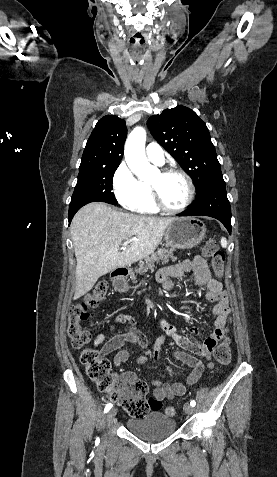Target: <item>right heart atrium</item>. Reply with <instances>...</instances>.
Listing matches in <instances>:
<instances>
[{"mask_svg":"<svg viewBox=\"0 0 277 477\" xmlns=\"http://www.w3.org/2000/svg\"><path fill=\"white\" fill-rule=\"evenodd\" d=\"M117 201L127 209H133L141 200V182L125 162L119 164L112 178Z\"/></svg>","mask_w":277,"mask_h":477,"instance_id":"d8ad5b80","label":"right heart atrium"}]
</instances>
